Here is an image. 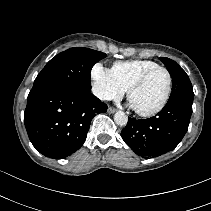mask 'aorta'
<instances>
[{"label":"aorta","instance_id":"obj_1","mask_svg":"<svg viewBox=\"0 0 211 211\" xmlns=\"http://www.w3.org/2000/svg\"><path fill=\"white\" fill-rule=\"evenodd\" d=\"M114 121L119 126H125L128 122V117L124 112L118 111L114 115Z\"/></svg>","mask_w":211,"mask_h":211}]
</instances>
